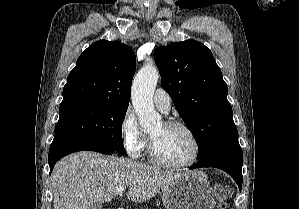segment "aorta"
<instances>
[{
    "instance_id": "aorta-1",
    "label": "aorta",
    "mask_w": 299,
    "mask_h": 209,
    "mask_svg": "<svg viewBox=\"0 0 299 209\" xmlns=\"http://www.w3.org/2000/svg\"><path fill=\"white\" fill-rule=\"evenodd\" d=\"M158 79L157 68L147 64L137 73L132 84V104L140 125L146 129L161 122V116L155 111L153 104V94Z\"/></svg>"
}]
</instances>
